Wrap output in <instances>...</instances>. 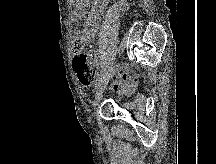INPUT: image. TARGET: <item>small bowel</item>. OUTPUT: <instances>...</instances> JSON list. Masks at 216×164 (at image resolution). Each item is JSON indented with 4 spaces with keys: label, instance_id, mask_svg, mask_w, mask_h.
<instances>
[{
    "label": "small bowel",
    "instance_id": "small-bowel-1",
    "mask_svg": "<svg viewBox=\"0 0 216 164\" xmlns=\"http://www.w3.org/2000/svg\"><path fill=\"white\" fill-rule=\"evenodd\" d=\"M86 21H92L94 26L87 32L85 40L90 43L96 32L98 26V17L93 14L87 16ZM134 83V78L127 70H118L114 77L113 89L114 90H126Z\"/></svg>",
    "mask_w": 216,
    "mask_h": 164
}]
</instances>
